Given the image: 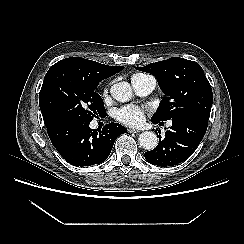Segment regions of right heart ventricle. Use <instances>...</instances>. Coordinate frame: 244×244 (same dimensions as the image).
<instances>
[{"mask_svg":"<svg viewBox=\"0 0 244 244\" xmlns=\"http://www.w3.org/2000/svg\"><path fill=\"white\" fill-rule=\"evenodd\" d=\"M140 76H142V74H134V75L132 76V81H133L134 79L140 77Z\"/></svg>","mask_w":244,"mask_h":244,"instance_id":"1","label":"right heart ventricle"}]
</instances>
